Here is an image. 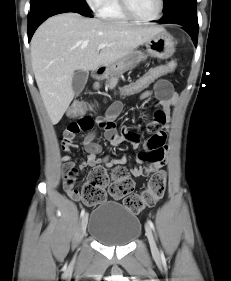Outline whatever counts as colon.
Segmentation results:
<instances>
[{
    "label": "colon",
    "mask_w": 231,
    "mask_h": 281,
    "mask_svg": "<svg viewBox=\"0 0 231 281\" xmlns=\"http://www.w3.org/2000/svg\"><path fill=\"white\" fill-rule=\"evenodd\" d=\"M175 68L176 63L174 61L152 67L138 78L121 85L117 94L122 97L140 95L153 82L172 73ZM85 109V103L74 102L70 107V114L79 115ZM107 186H109V193L113 198H125L124 205L130 211L138 213L147 207L154 206L163 197L166 188V174L161 170L155 172L149 179L147 187L141 193L131 194L134 189V182L126 168L117 167L109 175L103 167H94L81 190L75 188L74 192L85 203L96 205L105 200Z\"/></svg>",
    "instance_id": "5ec220e1"
}]
</instances>
